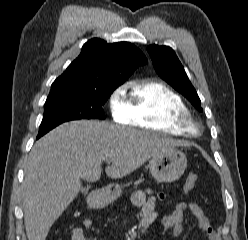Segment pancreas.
Wrapping results in <instances>:
<instances>
[{
    "mask_svg": "<svg viewBox=\"0 0 248 240\" xmlns=\"http://www.w3.org/2000/svg\"><path fill=\"white\" fill-rule=\"evenodd\" d=\"M141 182H143V179H139V180L135 181L134 185L138 186ZM127 185H129V184H127Z\"/></svg>",
    "mask_w": 248,
    "mask_h": 240,
    "instance_id": "1",
    "label": "pancreas"
}]
</instances>
